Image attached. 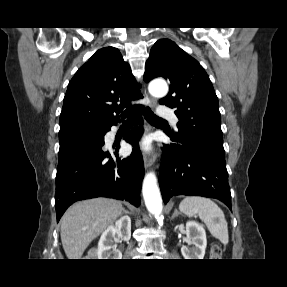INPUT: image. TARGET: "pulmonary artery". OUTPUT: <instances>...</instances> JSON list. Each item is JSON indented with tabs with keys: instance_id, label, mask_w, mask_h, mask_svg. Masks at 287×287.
<instances>
[{
	"instance_id": "1",
	"label": "pulmonary artery",
	"mask_w": 287,
	"mask_h": 287,
	"mask_svg": "<svg viewBox=\"0 0 287 287\" xmlns=\"http://www.w3.org/2000/svg\"><path fill=\"white\" fill-rule=\"evenodd\" d=\"M158 115H159V116H163V117L171 118L172 121H173L175 124L178 122L177 117H175V116L173 115L172 109H170V108L167 107V106H160V107L158 108Z\"/></svg>"
}]
</instances>
